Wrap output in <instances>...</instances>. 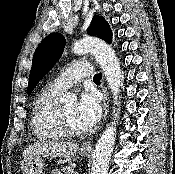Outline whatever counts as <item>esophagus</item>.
<instances>
[{"label": "esophagus", "instance_id": "1", "mask_svg": "<svg viewBox=\"0 0 175 174\" xmlns=\"http://www.w3.org/2000/svg\"><path fill=\"white\" fill-rule=\"evenodd\" d=\"M102 92H103V95H104V99H103V104H104V119H106L107 114L109 112V101H108V96L109 95H108V91H107V88L104 85V83L102 84ZM92 146H93V143L87 142V143H84L82 145V148L83 149H87V150H91L92 149Z\"/></svg>", "mask_w": 175, "mask_h": 174}]
</instances>
